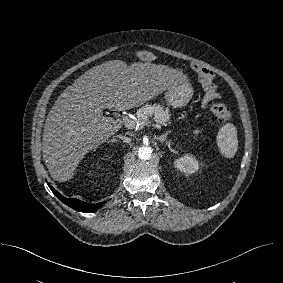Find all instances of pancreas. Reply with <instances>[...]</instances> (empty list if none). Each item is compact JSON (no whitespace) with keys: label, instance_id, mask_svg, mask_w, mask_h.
Here are the masks:
<instances>
[{"label":"pancreas","instance_id":"1","mask_svg":"<svg viewBox=\"0 0 283 283\" xmlns=\"http://www.w3.org/2000/svg\"><path fill=\"white\" fill-rule=\"evenodd\" d=\"M136 116H137V119L140 125L147 124L150 117H153V119L157 123L163 126H166L171 123L170 121L171 115L169 113V109L168 108L165 109L163 105H158V104L148 105L147 104L141 107L137 111ZM193 133L195 135H198L200 133V130L197 128L193 130Z\"/></svg>","mask_w":283,"mask_h":283}]
</instances>
